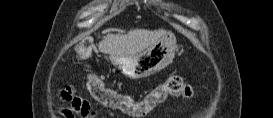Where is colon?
<instances>
[{"label":"colon","instance_id":"obj_1","mask_svg":"<svg viewBox=\"0 0 273 118\" xmlns=\"http://www.w3.org/2000/svg\"><path fill=\"white\" fill-rule=\"evenodd\" d=\"M93 45L84 40L75 46L78 59L85 60L91 56ZM88 90L99 103L120 110L131 117H143L157 104L164 101L169 95L193 97V90L182 78L171 76L154 86L141 100H134L131 96L121 95L107 88L103 79L97 73H89L87 77Z\"/></svg>","mask_w":273,"mask_h":118}]
</instances>
